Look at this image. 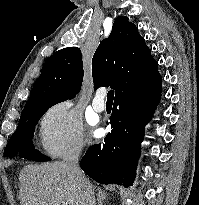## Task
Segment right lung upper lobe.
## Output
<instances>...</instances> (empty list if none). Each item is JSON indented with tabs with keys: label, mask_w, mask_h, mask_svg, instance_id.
Returning a JSON list of instances; mask_svg holds the SVG:
<instances>
[{
	"label": "right lung upper lobe",
	"mask_w": 199,
	"mask_h": 205,
	"mask_svg": "<svg viewBox=\"0 0 199 205\" xmlns=\"http://www.w3.org/2000/svg\"><path fill=\"white\" fill-rule=\"evenodd\" d=\"M157 67L137 27L127 17H117L109 37L100 42L92 59L94 89L110 86L117 95L132 81L156 71ZM82 81L80 49L62 48L45 61L27 103L71 99L80 91Z\"/></svg>",
	"instance_id": "1"
}]
</instances>
